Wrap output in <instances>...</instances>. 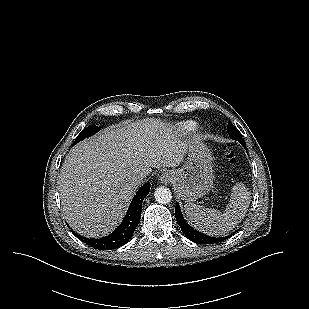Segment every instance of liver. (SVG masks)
Returning <instances> with one entry per match:
<instances>
[{
  "instance_id": "liver-1",
  "label": "liver",
  "mask_w": 309,
  "mask_h": 309,
  "mask_svg": "<svg viewBox=\"0 0 309 309\" xmlns=\"http://www.w3.org/2000/svg\"><path fill=\"white\" fill-rule=\"evenodd\" d=\"M188 143L172 125L146 119L107 128L75 145L59 180L68 224L87 237L107 235L121 222L138 189L133 175L178 166Z\"/></svg>"
}]
</instances>
